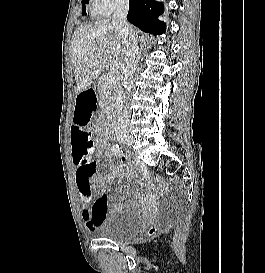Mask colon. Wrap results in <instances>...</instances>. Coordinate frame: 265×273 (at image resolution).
<instances>
[{
	"instance_id": "colon-1",
	"label": "colon",
	"mask_w": 265,
	"mask_h": 273,
	"mask_svg": "<svg viewBox=\"0 0 265 273\" xmlns=\"http://www.w3.org/2000/svg\"><path fill=\"white\" fill-rule=\"evenodd\" d=\"M77 124L79 126H80V124H83V126H84L86 123H77ZM82 137H84L88 141H93L92 134L89 131H87V130L83 131ZM91 149L94 150V147H92ZM99 206H100L99 203H95L94 208H95L96 212L99 210ZM153 232H154V229L152 228L149 233H153Z\"/></svg>"
}]
</instances>
